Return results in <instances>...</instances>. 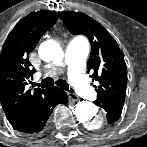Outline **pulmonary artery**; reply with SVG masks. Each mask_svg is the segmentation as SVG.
<instances>
[{
	"instance_id": "1",
	"label": "pulmonary artery",
	"mask_w": 147,
	"mask_h": 147,
	"mask_svg": "<svg viewBox=\"0 0 147 147\" xmlns=\"http://www.w3.org/2000/svg\"><path fill=\"white\" fill-rule=\"evenodd\" d=\"M89 46L81 37L72 38L65 50V63L68 67L71 84L76 92L86 99L95 97L93 87L83 76V65L88 55Z\"/></svg>"
}]
</instances>
